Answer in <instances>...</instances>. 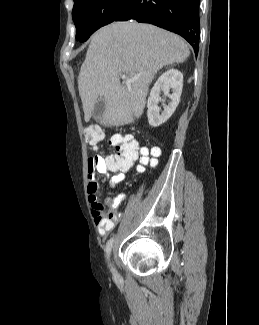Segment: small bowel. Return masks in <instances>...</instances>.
<instances>
[{"label": "small bowel", "mask_w": 259, "mask_h": 325, "mask_svg": "<svg viewBox=\"0 0 259 325\" xmlns=\"http://www.w3.org/2000/svg\"><path fill=\"white\" fill-rule=\"evenodd\" d=\"M152 150L160 151L157 147H154ZM136 159L137 158L130 161L126 166H122L120 164V160L116 154L107 156L97 155L91 157V161L88 160V200L96 219L98 232L102 236H105L114 228V225L118 220V215L115 213V210L124 200L125 195L120 194L114 198L108 197L105 199V205L109 206L112 209V212L108 217H106L105 207L98 201L97 197V192L99 189L97 183V175L103 174L107 176L109 186L111 188H115L124 180L125 174L132 168ZM110 173H113V175H110Z\"/></svg>", "instance_id": "obj_1"}]
</instances>
